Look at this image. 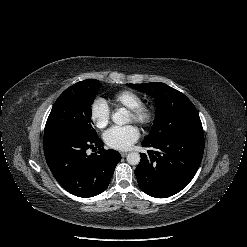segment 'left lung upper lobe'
Listing matches in <instances>:
<instances>
[{"label": "left lung upper lobe", "mask_w": 247, "mask_h": 247, "mask_svg": "<svg viewBox=\"0 0 247 247\" xmlns=\"http://www.w3.org/2000/svg\"><path fill=\"white\" fill-rule=\"evenodd\" d=\"M127 85L156 101L155 122L145 141L159 142L178 136L204 138L198 111L183 93L160 82Z\"/></svg>", "instance_id": "1"}]
</instances>
